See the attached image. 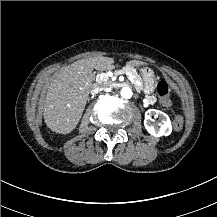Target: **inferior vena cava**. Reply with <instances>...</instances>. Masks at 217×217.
<instances>
[{
    "label": "inferior vena cava",
    "instance_id": "inferior-vena-cava-1",
    "mask_svg": "<svg viewBox=\"0 0 217 217\" xmlns=\"http://www.w3.org/2000/svg\"><path fill=\"white\" fill-rule=\"evenodd\" d=\"M104 88L102 87V85L100 84H95L92 89H91V93L95 92V91H102Z\"/></svg>",
    "mask_w": 217,
    "mask_h": 217
}]
</instances>
